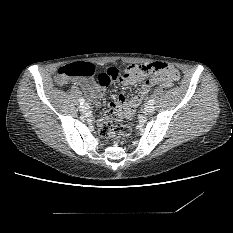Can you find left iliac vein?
Listing matches in <instances>:
<instances>
[{"mask_svg":"<svg viewBox=\"0 0 233 233\" xmlns=\"http://www.w3.org/2000/svg\"><path fill=\"white\" fill-rule=\"evenodd\" d=\"M144 109L147 113H153L155 111V107L153 105H146Z\"/></svg>","mask_w":233,"mask_h":233,"instance_id":"4c4485c4","label":"left iliac vein"}]
</instances>
